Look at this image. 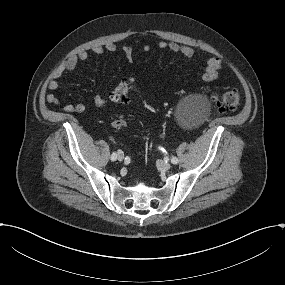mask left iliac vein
Returning a JSON list of instances; mask_svg holds the SVG:
<instances>
[{
  "instance_id": "1",
  "label": "left iliac vein",
  "mask_w": 285,
  "mask_h": 285,
  "mask_svg": "<svg viewBox=\"0 0 285 285\" xmlns=\"http://www.w3.org/2000/svg\"><path fill=\"white\" fill-rule=\"evenodd\" d=\"M158 166H159V168H160L161 170H163V171H167V170H169L170 167H171V165H170L169 163L164 162V161H159Z\"/></svg>"
}]
</instances>
